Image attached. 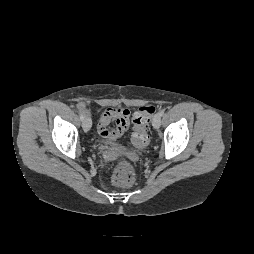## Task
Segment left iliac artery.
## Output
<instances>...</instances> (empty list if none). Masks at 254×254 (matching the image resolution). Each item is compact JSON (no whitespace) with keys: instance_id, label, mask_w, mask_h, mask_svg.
<instances>
[{"instance_id":"1","label":"left iliac artery","mask_w":254,"mask_h":254,"mask_svg":"<svg viewBox=\"0 0 254 254\" xmlns=\"http://www.w3.org/2000/svg\"><path fill=\"white\" fill-rule=\"evenodd\" d=\"M164 113H165V111H164V110L159 111V115H160V116H163V115H164Z\"/></svg>"}]
</instances>
